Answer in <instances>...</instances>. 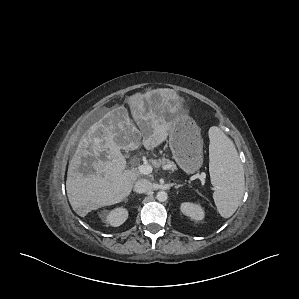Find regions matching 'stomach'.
<instances>
[{
  "label": "stomach",
  "instance_id": "stomach-1",
  "mask_svg": "<svg viewBox=\"0 0 299 299\" xmlns=\"http://www.w3.org/2000/svg\"><path fill=\"white\" fill-rule=\"evenodd\" d=\"M170 123L169 147L173 158L184 172L193 174L203 163L200 128L185 111L175 113Z\"/></svg>",
  "mask_w": 299,
  "mask_h": 299
}]
</instances>
